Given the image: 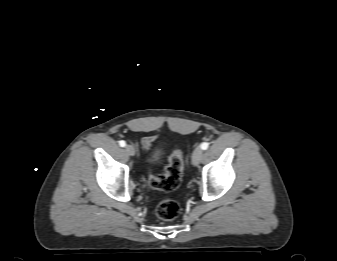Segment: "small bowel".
<instances>
[{
    "mask_svg": "<svg viewBox=\"0 0 337 261\" xmlns=\"http://www.w3.org/2000/svg\"><path fill=\"white\" fill-rule=\"evenodd\" d=\"M155 139H156L155 135L143 137L142 140H141V146H142L143 150L148 151L151 148Z\"/></svg>",
    "mask_w": 337,
    "mask_h": 261,
    "instance_id": "obj_1",
    "label": "small bowel"
}]
</instances>
